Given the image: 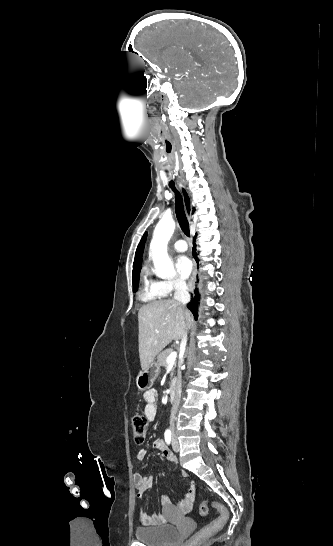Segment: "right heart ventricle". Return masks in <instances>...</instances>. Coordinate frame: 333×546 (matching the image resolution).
<instances>
[{
    "label": "right heart ventricle",
    "instance_id": "right-heart-ventricle-1",
    "mask_svg": "<svg viewBox=\"0 0 333 546\" xmlns=\"http://www.w3.org/2000/svg\"><path fill=\"white\" fill-rule=\"evenodd\" d=\"M140 297L146 303L156 302L162 297L158 292L157 282L152 279L148 266H145L141 272Z\"/></svg>",
    "mask_w": 333,
    "mask_h": 546
}]
</instances>
